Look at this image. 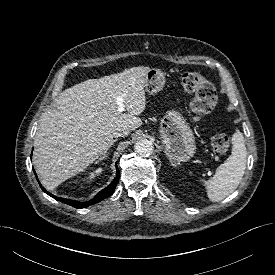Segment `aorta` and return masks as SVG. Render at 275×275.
I'll list each match as a JSON object with an SVG mask.
<instances>
[{"mask_svg": "<svg viewBox=\"0 0 275 275\" xmlns=\"http://www.w3.org/2000/svg\"><path fill=\"white\" fill-rule=\"evenodd\" d=\"M135 152L142 156H150L153 152V144L149 140H139L134 146Z\"/></svg>", "mask_w": 275, "mask_h": 275, "instance_id": "obj_1", "label": "aorta"}]
</instances>
